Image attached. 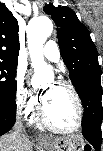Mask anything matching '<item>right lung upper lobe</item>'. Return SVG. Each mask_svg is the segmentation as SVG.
<instances>
[{
    "label": "right lung upper lobe",
    "mask_w": 103,
    "mask_h": 151,
    "mask_svg": "<svg viewBox=\"0 0 103 151\" xmlns=\"http://www.w3.org/2000/svg\"><path fill=\"white\" fill-rule=\"evenodd\" d=\"M19 26L4 3H0V63L17 64L19 54Z\"/></svg>",
    "instance_id": "1"
}]
</instances>
